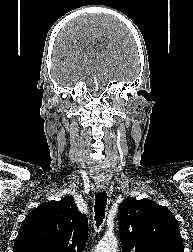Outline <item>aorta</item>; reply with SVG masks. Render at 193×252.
I'll list each match as a JSON object with an SVG mask.
<instances>
[{
	"mask_svg": "<svg viewBox=\"0 0 193 252\" xmlns=\"http://www.w3.org/2000/svg\"><path fill=\"white\" fill-rule=\"evenodd\" d=\"M116 238H103L96 247V252H116L117 250Z\"/></svg>",
	"mask_w": 193,
	"mask_h": 252,
	"instance_id": "762f6f07",
	"label": "aorta"
}]
</instances>
